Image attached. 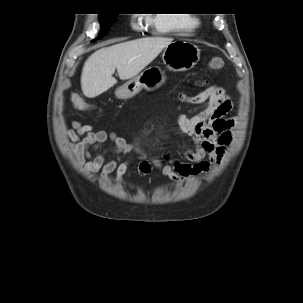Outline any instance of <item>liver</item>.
Listing matches in <instances>:
<instances>
[{
    "label": "liver",
    "mask_w": 303,
    "mask_h": 303,
    "mask_svg": "<svg viewBox=\"0 0 303 303\" xmlns=\"http://www.w3.org/2000/svg\"><path fill=\"white\" fill-rule=\"evenodd\" d=\"M172 42L166 37H145L118 43L95 51L84 63L81 88L88 98H94L117 83L113 77L127 80L139 74Z\"/></svg>",
    "instance_id": "obj_1"
}]
</instances>
